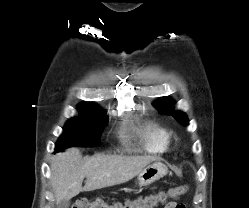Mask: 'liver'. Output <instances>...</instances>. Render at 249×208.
<instances>
[{
  "label": "liver",
  "instance_id": "obj_1",
  "mask_svg": "<svg viewBox=\"0 0 249 208\" xmlns=\"http://www.w3.org/2000/svg\"><path fill=\"white\" fill-rule=\"evenodd\" d=\"M154 156H122L97 154L82 158L76 148H69L53 156L51 185L57 203L69 200L81 191H93L125 183L138 175ZM86 178L85 186L82 182Z\"/></svg>",
  "mask_w": 249,
  "mask_h": 208
}]
</instances>
